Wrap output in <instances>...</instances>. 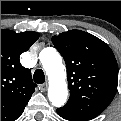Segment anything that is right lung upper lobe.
<instances>
[{
	"mask_svg": "<svg viewBox=\"0 0 121 121\" xmlns=\"http://www.w3.org/2000/svg\"><path fill=\"white\" fill-rule=\"evenodd\" d=\"M39 38V33L1 30V121H14L35 91L31 71L19 57Z\"/></svg>",
	"mask_w": 121,
	"mask_h": 121,
	"instance_id": "obj_1",
	"label": "right lung upper lobe"
}]
</instances>
